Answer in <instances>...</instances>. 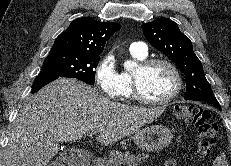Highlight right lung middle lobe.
<instances>
[{
    "instance_id": "obj_1",
    "label": "right lung middle lobe",
    "mask_w": 231,
    "mask_h": 166,
    "mask_svg": "<svg viewBox=\"0 0 231 166\" xmlns=\"http://www.w3.org/2000/svg\"><path fill=\"white\" fill-rule=\"evenodd\" d=\"M100 56L81 52L59 50L45 58L41 72L60 77L76 78L87 84L95 83V69Z\"/></svg>"
}]
</instances>
